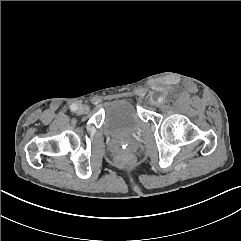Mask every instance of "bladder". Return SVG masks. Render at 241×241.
<instances>
[{
  "mask_svg": "<svg viewBox=\"0 0 241 241\" xmlns=\"http://www.w3.org/2000/svg\"><path fill=\"white\" fill-rule=\"evenodd\" d=\"M144 123L134 106L126 100H113L103 108V134L113 140L130 141L140 134Z\"/></svg>",
  "mask_w": 241,
  "mask_h": 241,
  "instance_id": "31cf9c89",
  "label": "bladder"
}]
</instances>
